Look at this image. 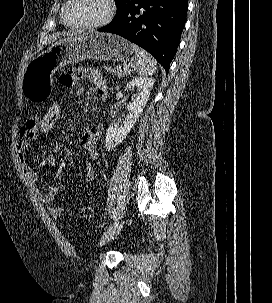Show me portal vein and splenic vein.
Listing matches in <instances>:
<instances>
[{
  "mask_svg": "<svg viewBox=\"0 0 272 303\" xmlns=\"http://www.w3.org/2000/svg\"><path fill=\"white\" fill-rule=\"evenodd\" d=\"M124 69H129V65H125V66H124Z\"/></svg>",
  "mask_w": 272,
  "mask_h": 303,
  "instance_id": "1",
  "label": "portal vein and splenic vein"
}]
</instances>
